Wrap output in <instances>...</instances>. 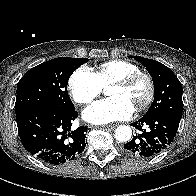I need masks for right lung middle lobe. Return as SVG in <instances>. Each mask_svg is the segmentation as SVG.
I'll use <instances>...</instances> for the list:
<instances>
[{
    "mask_svg": "<svg viewBox=\"0 0 196 196\" xmlns=\"http://www.w3.org/2000/svg\"><path fill=\"white\" fill-rule=\"evenodd\" d=\"M88 60L59 57L27 71L17 85L16 117L37 107H50L66 112L75 110L67 92L68 80Z\"/></svg>",
    "mask_w": 196,
    "mask_h": 196,
    "instance_id": "right-lung-middle-lobe-1",
    "label": "right lung middle lobe"
}]
</instances>
